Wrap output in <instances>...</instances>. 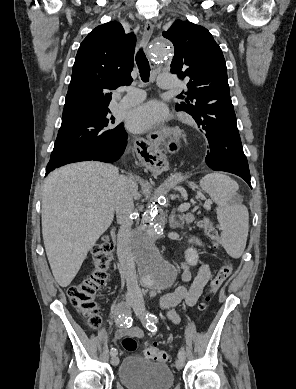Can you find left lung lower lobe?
Instances as JSON below:
<instances>
[{"instance_id":"1","label":"left lung lower lobe","mask_w":296,"mask_h":389,"mask_svg":"<svg viewBox=\"0 0 296 389\" xmlns=\"http://www.w3.org/2000/svg\"><path fill=\"white\" fill-rule=\"evenodd\" d=\"M206 114L199 125L206 137V165L215 171L236 174L251 187L248 162L243 152L231 98L220 100Z\"/></svg>"}]
</instances>
